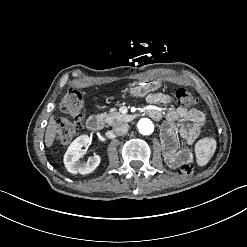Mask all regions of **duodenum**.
I'll return each instance as SVG.
<instances>
[{
  "instance_id": "410a0bca",
  "label": "duodenum",
  "mask_w": 247,
  "mask_h": 247,
  "mask_svg": "<svg viewBox=\"0 0 247 247\" xmlns=\"http://www.w3.org/2000/svg\"><path fill=\"white\" fill-rule=\"evenodd\" d=\"M103 126V118L98 115L90 116L86 121V127L91 131H98Z\"/></svg>"
}]
</instances>
